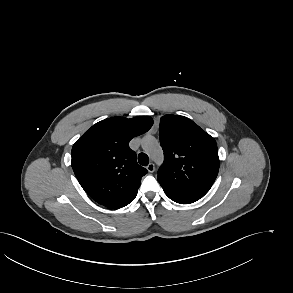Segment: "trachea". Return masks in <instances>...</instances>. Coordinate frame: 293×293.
Here are the masks:
<instances>
[{
  "label": "trachea",
  "mask_w": 293,
  "mask_h": 293,
  "mask_svg": "<svg viewBox=\"0 0 293 293\" xmlns=\"http://www.w3.org/2000/svg\"><path fill=\"white\" fill-rule=\"evenodd\" d=\"M138 162L142 166H147L149 164V157L145 153H140L138 156Z\"/></svg>",
  "instance_id": "1"
}]
</instances>
